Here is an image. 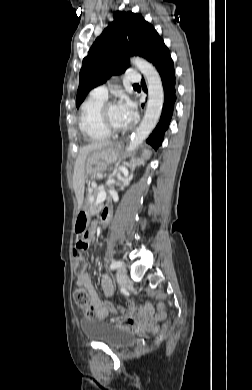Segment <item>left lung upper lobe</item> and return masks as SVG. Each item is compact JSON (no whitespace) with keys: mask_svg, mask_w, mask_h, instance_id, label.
<instances>
[{"mask_svg":"<svg viewBox=\"0 0 252 390\" xmlns=\"http://www.w3.org/2000/svg\"><path fill=\"white\" fill-rule=\"evenodd\" d=\"M83 59L76 96L77 108L90 90L103 84L113 75L129 67L130 56L149 61L155 47L162 40L154 27L142 15L131 11H117Z\"/></svg>","mask_w":252,"mask_h":390,"instance_id":"obj_1","label":"left lung upper lobe"}]
</instances>
